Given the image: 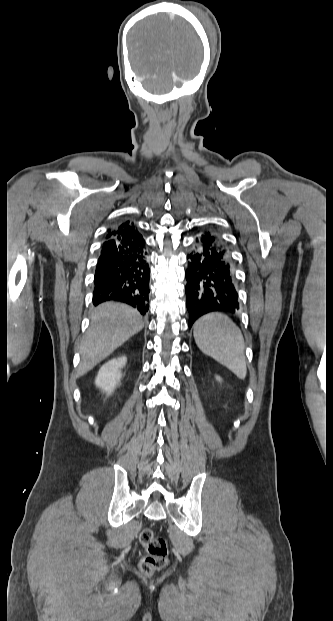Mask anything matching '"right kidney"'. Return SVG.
I'll return each instance as SVG.
<instances>
[{"label": "right kidney", "instance_id": "right-kidney-1", "mask_svg": "<svg viewBox=\"0 0 333 621\" xmlns=\"http://www.w3.org/2000/svg\"><path fill=\"white\" fill-rule=\"evenodd\" d=\"M126 357L114 358L105 363L99 370L96 377V385L105 391L107 394H111L116 384L121 379L120 369L125 366Z\"/></svg>", "mask_w": 333, "mask_h": 621}]
</instances>
